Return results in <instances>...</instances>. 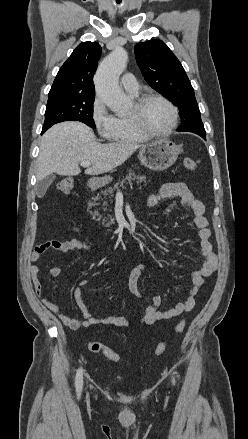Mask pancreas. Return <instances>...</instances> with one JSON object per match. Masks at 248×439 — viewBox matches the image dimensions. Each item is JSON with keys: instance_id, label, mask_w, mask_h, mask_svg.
I'll return each instance as SVG.
<instances>
[{"instance_id": "pancreas-1", "label": "pancreas", "mask_w": 248, "mask_h": 439, "mask_svg": "<svg viewBox=\"0 0 248 439\" xmlns=\"http://www.w3.org/2000/svg\"><path fill=\"white\" fill-rule=\"evenodd\" d=\"M135 179H137L139 182H145L146 181V178L144 176L136 175L134 173V171L130 170L129 173L125 176V178L123 177V179L121 181H119L118 183H116L114 185V188L109 187V188L105 189L102 193L104 195H107L108 193L112 195L114 189L118 190L119 186H123L125 183H127V181L131 182L132 180H135ZM112 223H114L113 219L107 224V226L109 227Z\"/></svg>"}]
</instances>
